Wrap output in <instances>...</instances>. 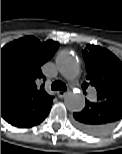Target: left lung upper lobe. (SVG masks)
<instances>
[{
    "instance_id": "left-lung-upper-lobe-1",
    "label": "left lung upper lobe",
    "mask_w": 122,
    "mask_h": 154,
    "mask_svg": "<svg viewBox=\"0 0 122 154\" xmlns=\"http://www.w3.org/2000/svg\"><path fill=\"white\" fill-rule=\"evenodd\" d=\"M89 84L96 88V102L122 101V62L109 50L87 45L82 51ZM84 82L83 92L89 85Z\"/></svg>"
}]
</instances>
